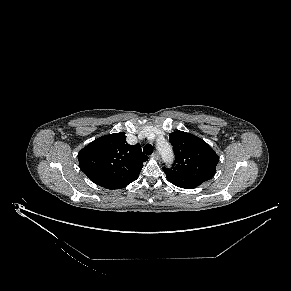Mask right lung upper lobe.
Wrapping results in <instances>:
<instances>
[{"instance_id":"right-lung-upper-lobe-1","label":"right lung upper lobe","mask_w":291,"mask_h":291,"mask_svg":"<svg viewBox=\"0 0 291 291\" xmlns=\"http://www.w3.org/2000/svg\"><path fill=\"white\" fill-rule=\"evenodd\" d=\"M81 170L95 184L114 190L135 181L148 157L140 144L126 142L124 132L97 138L78 153Z\"/></svg>"}]
</instances>
